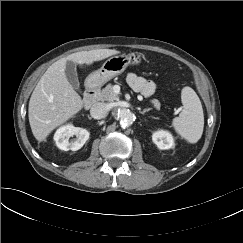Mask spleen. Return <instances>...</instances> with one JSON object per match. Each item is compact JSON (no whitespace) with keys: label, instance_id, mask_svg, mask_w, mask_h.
I'll use <instances>...</instances> for the list:
<instances>
[{"label":"spleen","instance_id":"obj_1","mask_svg":"<svg viewBox=\"0 0 243 243\" xmlns=\"http://www.w3.org/2000/svg\"><path fill=\"white\" fill-rule=\"evenodd\" d=\"M183 110L172 120V126L177 134L187 142L194 144L201 138L204 128V114L201 101L191 87L181 91Z\"/></svg>","mask_w":243,"mask_h":243}]
</instances>
